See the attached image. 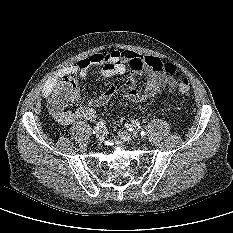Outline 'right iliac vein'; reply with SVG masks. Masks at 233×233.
<instances>
[{"instance_id":"1","label":"right iliac vein","mask_w":233,"mask_h":233,"mask_svg":"<svg viewBox=\"0 0 233 233\" xmlns=\"http://www.w3.org/2000/svg\"><path fill=\"white\" fill-rule=\"evenodd\" d=\"M96 139H97V141H99V142H102V141H103V139H104V134H103V132H102L101 130L97 133Z\"/></svg>"}]
</instances>
